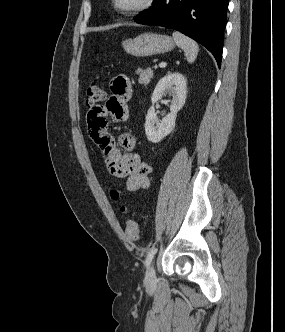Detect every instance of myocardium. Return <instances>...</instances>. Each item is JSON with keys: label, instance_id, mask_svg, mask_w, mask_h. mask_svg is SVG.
<instances>
[{"label": "myocardium", "instance_id": "obj_1", "mask_svg": "<svg viewBox=\"0 0 285 332\" xmlns=\"http://www.w3.org/2000/svg\"><path fill=\"white\" fill-rule=\"evenodd\" d=\"M155 3L156 0H141L131 7H122L119 5L118 0H110L112 9L122 16H135L147 12L154 7Z\"/></svg>", "mask_w": 285, "mask_h": 332}]
</instances>
